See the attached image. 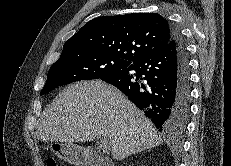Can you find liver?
<instances>
[{"label":"liver","instance_id":"liver-1","mask_svg":"<svg viewBox=\"0 0 231 166\" xmlns=\"http://www.w3.org/2000/svg\"><path fill=\"white\" fill-rule=\"evenodd\" d=\"M109 139L115 160L162 143L156 127L118 89L101 81L68 85L42 113L36 129L42 142Z\"/></svg>","mask_w":231,"mask_h":166}]
</instances>
